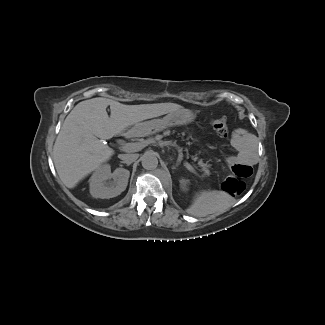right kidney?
<instances>
[{
    "instance_id": "obj_1",
    "label": "right kidney",
    "mask_w": 325,
    "mask_h": 325,
    "mask_svg": "<svg viewBox=\"0 0 325 325\" xmlns=\"http://www.w3.org/2000/svg\"><path fill=\"white\" fill-rule=\"evenodd\" d=\"M130 172L117 168L111 173L109 164L99 167L90 178V194L94 198L109 199L120 195L127 187ZM113 181H108L110 179Z\"/></svg>"
}]
</instances>
